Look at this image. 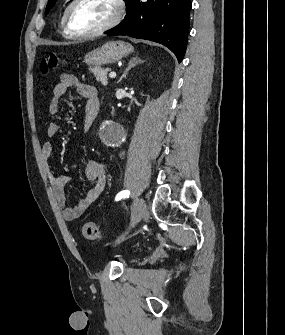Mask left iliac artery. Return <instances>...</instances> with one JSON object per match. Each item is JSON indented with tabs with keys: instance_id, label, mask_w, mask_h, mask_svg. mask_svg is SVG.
Returning a JSON list of instances; mask_svg holds the SVG:
<instances>
[{
	"instance_id": "left-iliac-artery-1",
	"label": "left iliac artery",
	"mask_w": 285,
	"mask_h": 335,
	"mask_svg": "<svg viewBox=\"0 0 285 335\" xmlns=\"http://www.w3.org/2000/svg\"><path fill=\"white\" fill-rule=\"evenodd\" d=\"M129 194H130V191H128V190L121 191L120 193H118V194L116 195L115 200H116V201H119V200H121L122 198H126V197H128Z\"/></svg>"
}]
</instances>
